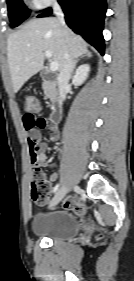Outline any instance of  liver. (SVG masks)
I'll return each mask as SVG.
<instances>
[{
    "label": "liver",
    "instance_id": "6515ba94",
    "mask_svg": "<svg viewBox=\"0 0 134 281\" xmlns=\"http://www.w3.org/2000/svg\"><path fill=\"white\" fill-rule=\"evenodd\" d=\"M45 51H51L52 60L58 63L60 71L67 52L74 59L88 50L83 38L63 27L58 19L29 21L7 40V59L15 93L43 68Z\"/></svg>",
    "mask_w": 134,
    "mask_h": 281
}]
</instances>
